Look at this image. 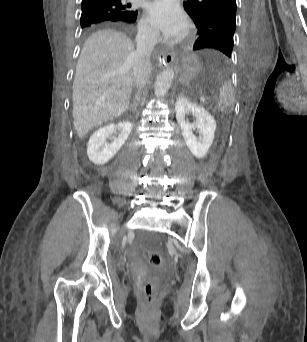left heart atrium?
<instances>
[{"label": "left heart atrium", "instance_id": "1", "mask_svg": "<svg viewBox=\"0 0 307 342\" xmlns=\"http://www.w3.org/2000/svg\"><path fill=\"white\" fill-rule=\"evenodd\" d=\"M145 19L154 41L178 42L188 35V23L172 1H155L149 4Z\"/></svg>", "mask_w": 307, "mask_h": 342}]
</instances>
